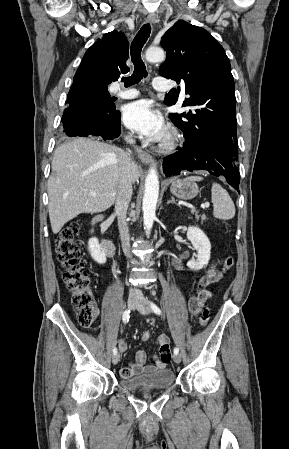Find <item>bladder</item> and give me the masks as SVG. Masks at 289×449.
I'll use <instances>...</instances> for the list:
<instances>
[{"mask_svg": "<svg viewBox=\"0 0 289 449\" xmlns=\"http://www.w3.org/2000/svg\"><path fill=\"white\" fill-rule=\"evenodd\" d=\"M175 375L171 369H159L150 373L123 378L119 385L128 391L166 389L174 384Z\"/></svg>", "mask_w": 289, "mask_h": 449, "instance_id": "bladder-1", "label": "bladder"}]
</instances>
